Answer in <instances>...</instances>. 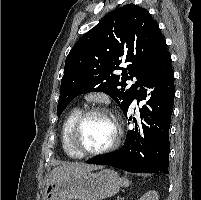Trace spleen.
<instances>
[{"label": "spleen", "mask_w": 201, "mask_h": 200, "mask_svg": "<svg viewBox=\"0 0 201 200\" xmlns=\"http://www.w3.org/2000/svg\"><path fill=\"white\" fill-rule=\"evenodd\" d=\"M130 184L129 180L127 179H121V185L124 186V187H128Z\"/></svg>", "instance_id": "spleen-1"}]
</instances>
